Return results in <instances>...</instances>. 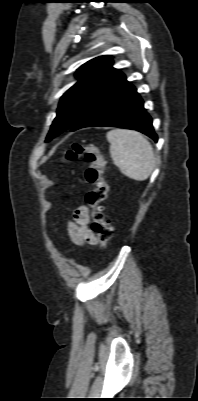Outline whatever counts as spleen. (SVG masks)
<instances>
[{"label":"spleen","instance_id":"3e777b00","mask_svg":"<svg viewBox=\"0 0 198 401\" xmlns=\"http://www.w3.org/2000/svg\"><path fill=\"white\" fill-rule=\"evenodd\" d=\"M110 155L120 172L136 181L146 180L155 168L152 145L140 133L114 129L107 133Z\"/></svg>","mask_w":198,"mask_h":401}]
</instances>
